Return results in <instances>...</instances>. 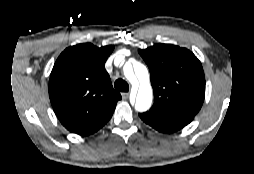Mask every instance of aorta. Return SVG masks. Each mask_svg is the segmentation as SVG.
<instances>
[{"mask_svg": "<svg viewBox=\"0 0 254 174\" xmlns=\"http://www.w3.org/2000/svg\"><path fill=\"white\" fill-rule=\"evenodd\" d=\"M124 75L130 81L134 82L138 80L139 89L136 96L135 109L138 112L147 111L152 104L153 91L150 84L149 73L145 65L140 62H135L133 66L131 64H125Z\"/></svg>", "mask_w": 254, "mask_h": 174, "instance_id": "aorta-1", "label": "aorta"}]
</instances>
